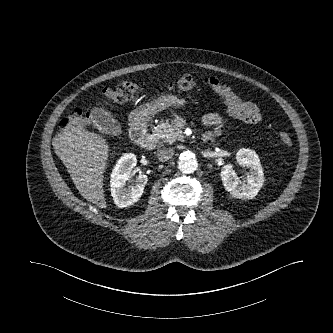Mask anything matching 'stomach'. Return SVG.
Returning <instances> with one entry per match:
<instances>
[{"label":"stomach","mask_w":333,"mask_h":333,"mask_svg":"<svg viewBox=\"0 0 333 333\" xmlns=\"http://www.w3.org/2000/svg\"><path fill=\"white\" fill-rule=\"evenodd\" d=\"M186 100L174 95L163 94L154 101L139 106L130 113V121L134 125H143L148 122L152 116L165 110L170 106H184Z\"/></svg>","instance_id":"1"}]
</instances>
